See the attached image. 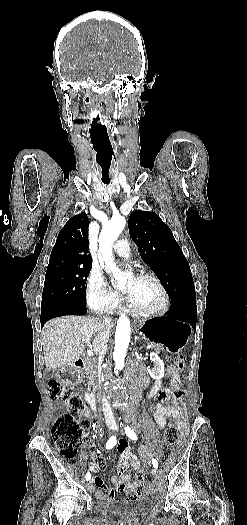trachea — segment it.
I'll return each instance as SVG.
<instances>
[{
    "label": "trachea",
    "mask_w": 247,
    "mask_h": 525,
    "mask_svg": "<svg viewBox=\"0 0 247 525\" xmlns=\"http://www.w3.org/2000/svg\"><path fill=\"white\" fill-rule=\"evenodd\" d=\"M103 183H106V184H108L109 182H107V181H103Z\"/></svg>",
    "instance_id": "trachea-1"
}]
</instances>
